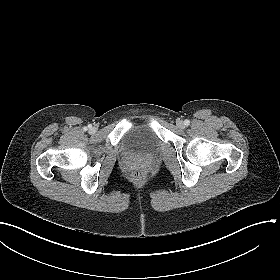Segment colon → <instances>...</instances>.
I'll return each instance as SVG.
<instances>
[{
	"label": "colon",
	"mask_w": 280,
	"mask_h": 280,
	"mask_svg": "<svg viewBox=\"0 0 280 280\" xmlns=\"http://www.w3.org/2000/svg\"><path fill=\"white\" fill-rule=\"evenodd\" d=\"M132 179L136 184H141L144 182V173L140 168H135L132 171Z\"/></svg>",
	"instance_id": "5ec220e1"
}]
</instances>
